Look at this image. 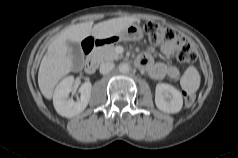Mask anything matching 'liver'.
I'll return each mask as SVG.
<instances>
[{
	"mask_svg": "<svg viewBox=\"0 0 238 158\" xmlns=\"http://www.w3.org/2000/svg\"><path fill=\"white\" fill-rule=\"evenodd\" d=\"M137 18L120 17L100 22L93 21L72 25L61 31L50 43L42 58L38 71V85L46 99H51L59 80L73 70V59L67 41L79 43L92 35L96 39H106L133 24Z\"/></svg>",
	"mask_w": 238,
	"mask_h": 158,
	"instance_id": "liver-1",
	"label": "liver"
}]
</instances>
